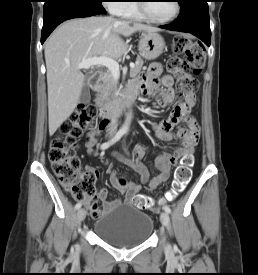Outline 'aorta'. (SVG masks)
<instances>
[{
	"label": "aorta",
	"instance_id": "obj_1",
	"mask_svg": "<svg viewBox=\"0 0 258 275\" xmlns=\"http://www.w3.org/2000/svg\"><path fill=\"white\" fill-rule=\"evenodd\" d=\"M131 118H132V113H131V111H130L129 114H128L127 119L125 120V122H124V124H123V126H122V128H121V130H122L123 132H128V130H129V125H130V122H131Z\"/></svg>",
	"mask_w": 258,
	"mask_h": 275
}]
</instances>
